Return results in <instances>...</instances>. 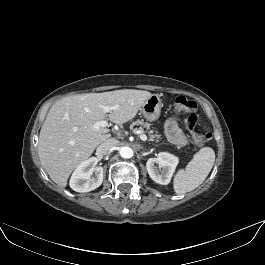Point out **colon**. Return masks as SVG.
<instances>
[{"label": "colon", "instance_id": "1", "mask_svg": "<svg viewBox=\"0 0 265 265\" xmlns=\"http://www.w3.org/2000/svg\"><path fill=\"white\" fill-rule=\"evenodd\" d=\"M173 107L183 113L184 121L191 131L193 142L197 146H203L212 139L211 133L201 134L195 131V127L198 124V116L196 113L197 105L194 101L180 96L174 99Z\"/></svg>", "mask_w": 265, "mask_h": 265}]
</instances>
